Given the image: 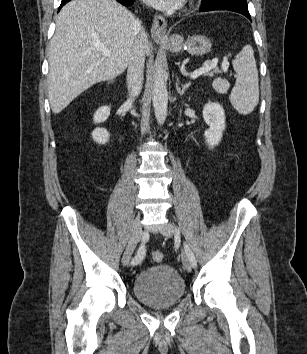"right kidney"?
Listing matches in <instances>:
<instances>
[{"label": "right kidney", "mask_w": 307, "mask_h": 354, "mask_svg": "<svg viewBox=\"0 0 307 354\" xmlns=\"http://www.w3.org/2000/svg\"><path fill=\"white\" fill-rule=\"evenodd\" d=\"M110 115V107L102 106L94 114L93 120L94 123H102ZM110 134L105 128H96L92 132V138L98 144H106L109 141Z\"/></svg>", "instance_id": "ca27d5eb"}]
</instances>
